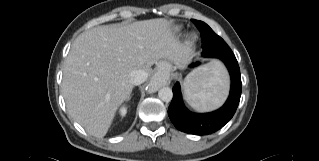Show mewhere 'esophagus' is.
<instances>
[{"mask_svg": "<svg viewBox=\"0 0 319 161\" xmlns=\"http://www.w3.org/2000/svg\"><path fill=\"white\" fill-rule=\"evenodd\" d=\"M149 86H150L152 89L158 90V89L162 86V80L159 79V78H153V79L150 81Z\"/></svg>", "mask_w": 319, "mask_h": 161, "instance_id": "esophagus-1", "label": "esophagus"}]
</instances>
